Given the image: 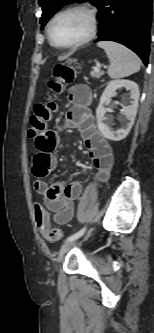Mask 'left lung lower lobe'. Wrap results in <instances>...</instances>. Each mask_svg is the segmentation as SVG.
I'll return each mask as SVG.
<instances>
[{
  "label": "left lung lower lobe",
  "instance_id": "obj_1",
  "mask_svg": "<svg viewBox=\"0 0 154 333\" xmlns=\"http://www.w3.org/2000/svg\"><path fill=\"white\" fill-rule=\"evenodd\" d=\"M100 21L96 41H115L149 59L152 0H102L97 6Z\"/></svg>",
  "mask_w": 154,
  "mask_h": 333
}]
</instances>
